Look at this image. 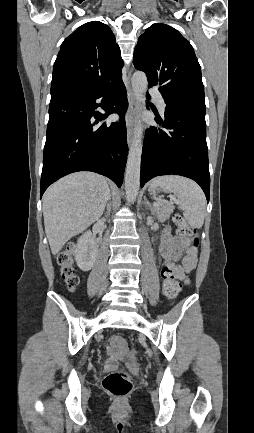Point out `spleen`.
<instances>
[{
  "instance_id": "3e777b00",
  "label": "spleen",
  "mask_w": 254,
  "mask_h": 433,
  "mask_svg": "<svg viewBox=\"0 0 254 433\" xmlns=\"http://www.w3.org/2000/svg\"><path fill=\"white\" fill-rule=\"evenodd\" d=\"M150 187H159L173 193L178 198L179 209L183 211V216L190 226L194 228L203 226L206 198L197 183L185 177L166 175L155 178L150 183Z\"/></svg>"
}]
</instances>
